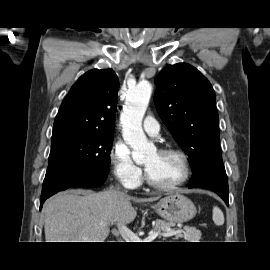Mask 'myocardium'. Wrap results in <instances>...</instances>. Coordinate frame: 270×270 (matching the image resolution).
<instances>
[{"mask_svg":"<svg viewBox=\"0 0 270 270\" xmlns=\"http://www.w3.org/2000/svg\"><path fill=\"white\" fill-rule=\"evenodd\" d=\"M159 153H163V154H173L176 155L182 164V168H183V174L181 176V178L171 184H158L155 183L148 175L146 169H145V173H144V178L146 183L153 189L158 190V191H171L174 189H177L179 187H181L182 185H184L190 178L191 175V166H190V162L188 159V156L186 155V153L184 151H182L181 149L178 148H173V147H165V148H161L158 150Z\"/></svg>","mask_w":270,"mask_h":270,"instance_id":"myocardium-1","label":"myocardium"}]
</instances>
